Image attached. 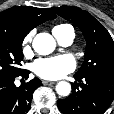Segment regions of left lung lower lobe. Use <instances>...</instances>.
Segmentation results:
<instances>
[{"mask_svg": "<svg viewBox=\"0 0 114 114\" xmlns=\"http://www.w3.org/2000/svg\"><path fill=\"white\" fill-rule=\"evenodd\" d=\"M72 94L57 101L63 114H103L114 99V76L74 75Z\"/></svg>", "mask_w": 114, "mask_h": 114, "instance_id": "0a47b994", "label": "left lung lower lobe"}]
</instances>
